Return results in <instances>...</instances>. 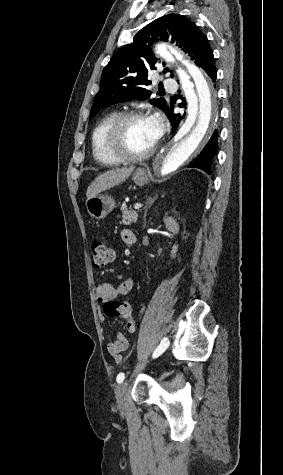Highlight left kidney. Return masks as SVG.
<instances>
[{"label": "left kidney", "instance_id": "left-kidney-1", "mask_svg": "<svg viewBox=\"0 0 283 475\" xmlns=\"http://www.w3.org/2000/svg\"><path fill=\"white\" fill-rule=\"evenodd\" d=\"M164 224L168 230V232H172V234H179V224H177L176 220L172 218V216H165ZM178 251V243H174L171 249V257H176V253Z\"/></svg>", "mask_w": 283, "mask_h": 475}]
</instances>
